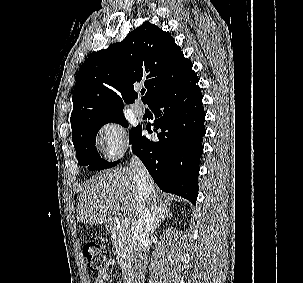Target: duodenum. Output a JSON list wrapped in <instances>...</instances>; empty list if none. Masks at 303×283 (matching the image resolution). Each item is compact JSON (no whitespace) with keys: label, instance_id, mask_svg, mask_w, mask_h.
Listing matches in <instances>:
<instances>
[{"label":"duodenum","instance_id":"duodenum-1","mask_svg":"<svg viewBox=\"0 0 303 283\" xmlns=\"http://www.w3.org/2000/svg\"><path fill=\"white\" fill-rule=\"evenodd\" d=\"M116 226H117V223L114 221H110L108 223V227L111 230H114L116 228ZM128 283H136V278L132 274H128Z\"/></svg>","mask_w":303,"mask_h":283}]
</instances>
